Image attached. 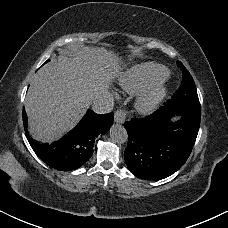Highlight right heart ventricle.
Listing matches in <instances>:
<instances>
[{
    "instance_id": "obj_1",
    "label": "right heart ventricle",
    "mask_w": 228,
    "mask_h": 228,
    "mask_svg": "<svg viewBox=\"0 0 228 228\" xmlns=\"http://www.w3.org/2000/svg\"><path fill=\"white\" fill-rule=\"evenodd\" d=\"M166 74L164 68L157 65H148L141 71L130 76L128 88L131 91H138L147 86L161 81Z\"/></svg>"
}]
</instances>
